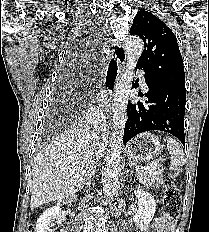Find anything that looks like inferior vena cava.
I'll return each instance as SVG.
<instances>
[{
  "label": "inferior vena cava",
  "mask_w": 209,
  "mask_h": 232,
  "mask_svg": "<svg viewBox=\"0 0 209 232\" xmlns=\"http://www.w3.org/2000/svg\"><path fill=\"white\" fill-rule=\"evenodd\" d=\"M96 148H97V147H96ZM94 154H95L94 159H95V160H98V159H99V156H100V151H99V150H95V151H94Z\"/></svg>",
  "instance_id": "obj_1"
}]
</instances>
